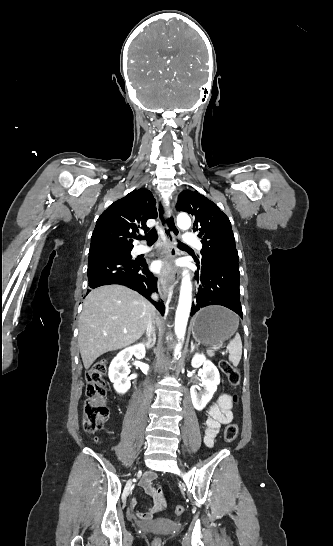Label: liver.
<instances>
[{
    "label": "liver",
    "instance_id": "liver-1",
    "mask_svg": "<svg viewBox=\"0 0 333 546\" xmlns=\"http://www.w3.org/2000/svg\"><path fill=\"white\" fill-rule=\"evenodd\" d=\"M156 314L152 304L122 285L92 290L79 317L78 346L86 369L102 354L136 342Z\"/></svg>",
    "mask_w": 333,
    "mask_h": 546
}]
</instances>
